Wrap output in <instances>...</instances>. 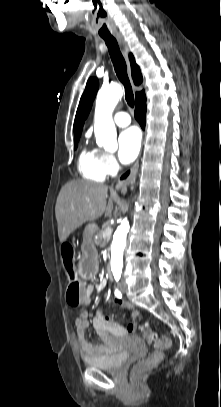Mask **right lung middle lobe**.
<instances>
[{
  "label": "right lung middle lobe",
  "instance_id": "right-lung-middle-lobe-1",
  "mask_svg": "<svg viewBox=\"0 0 221 407\" xmlns=\"http://www.w3.org/2000/svg\"><path fill=\"white\" fill-rule=\"evenodd\" d=\"M77 144H78V142H74V146H75V148L77 147Z\"/></svg>",
  "mask_w": 221,
  "mask_h": 407
}]
</instances>
